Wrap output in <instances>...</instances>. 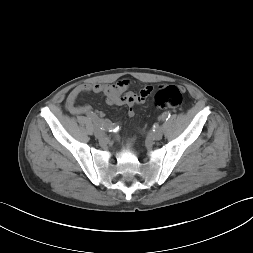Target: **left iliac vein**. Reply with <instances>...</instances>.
<instances>
[{"label":"left iliac vein","mask_w":253,"mask_h":253,"mask_svg":"<svg viewBox=\"0 0 253 253\" xmlns=\"http://www.w3.org/2000/svg\"><path fill=\"white\" fill-rule=\"evenodd\" d=\"M152 139L154 140H161L163 137V129L162 127H158L152 134Z\"/></svg>","instance_id":"1"}]
</instances>
